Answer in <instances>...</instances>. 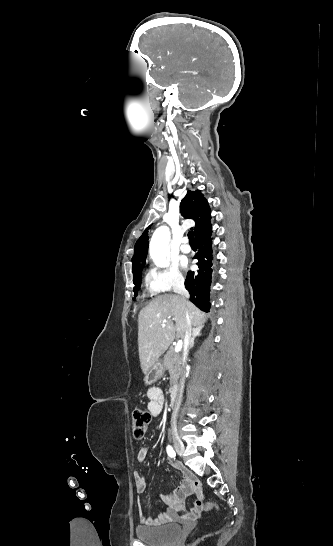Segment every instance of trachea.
Returning a JSON list of instances; mask_svg holds the SVG:
<instances>
[{"instance_id":"obj_1","label":"trachea","mask_w":333,"mask_h":546,"mask_svg":"<svg viewBox=\"0 0 333 546\" xmlns=\"http://www.w3.org/2000/svg\"><path fill=\"white\" fill-rule=\"evenodd\" d=\"M188 238H189V243L191 245H195V239H194V234H193V231H189L188 232Z\"/></svg>"}]
</instances>
